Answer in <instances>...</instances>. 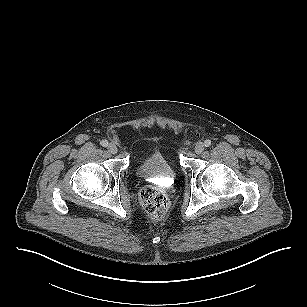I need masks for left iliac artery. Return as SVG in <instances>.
Segmentation results:
<instances>
[{
	"instance_id": "44dca946",
	"label": "left iliac artery",
	"mask_w": 307,
	"mask_h": 307,
	"mask_svg": "<svg viewBox=\"0 0 307 307\" xmlns=\"http://www.w3.org/2000/svg\"><path fill=\"white\" fill-rule=\"evenodd\" d=\"M211 145V140L207 139L204 141V146L209 147Z\"/></svg>"
}]
</instances>
